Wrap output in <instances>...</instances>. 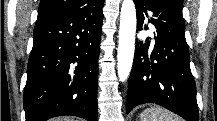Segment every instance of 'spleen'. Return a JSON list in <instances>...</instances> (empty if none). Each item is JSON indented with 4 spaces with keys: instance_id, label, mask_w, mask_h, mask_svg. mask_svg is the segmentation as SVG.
I'll return each mask as SVG.
<instances>
[{
    "instance_id": "1",
    "label": "spleen",
    "mask_w": 217,
    "mask_h": 121,
    "mask_svg": "<svg viewBox=\"0 0 217 121\" xmlns=\"http://www.w3.org/2000/svg\"><path fill=\"white\" fill-rule=\"evenodd\" d=\"M141 121H180L171 112L161 107H151L145 109L140 115Z\"/></svg>"
}]
</instances>
